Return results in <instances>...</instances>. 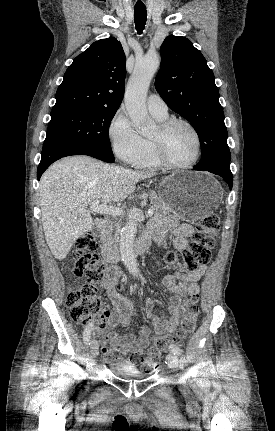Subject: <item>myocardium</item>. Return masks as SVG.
Returning <instances> with one entry per match:
<instances>
[{
    "label": "myocardium",
    "mask_w": 275,
    "mask_h": 431,
    "mask_svg": "<svg viewBox=\"0 0 275 431\" xmlns=\"http://www.w3.org/2000/svg\"><path fill=\"white\" fill-rule=\"evenodd\" d=\"M178 124H182L186 126L194 135L195 141H196V152L194 158L186 163V164H176L172 162L166 153V138L171 131V129ZM152 145H153V151L154 155L157 159V161L160 163L162 167L168 168V169H189L193 167L200 159L201 153H202V141L199 132L195 128V126L189 122L186 119L183 118H167L166 120L162 121L157 129V136L155 138L151 139Z\"/></svg>",
    "instance_id": "f54148a6"
}]
</instances>
